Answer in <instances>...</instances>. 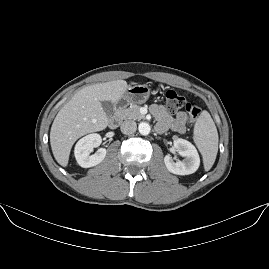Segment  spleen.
<instances>
[{
	"instance_id": "3e777b00",
	"label": "spleen",
	"mask_w": 269,
	"mask_h": 269,
	"mask_svg": "<svg viewBox=\"0 0 269 269\" xmlns=\"http://www.w3.org/2000/svg\"><path fill=\"white\" fill-rule=\"evenodd\" d=\"M195 142L203 154L205 169L209 170L214 164L218 151V133L207 111H203L197 120Z\"/></svg>"
}]
</instances>
